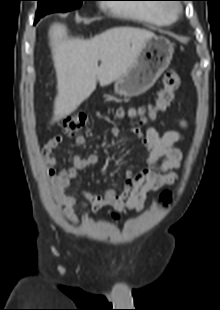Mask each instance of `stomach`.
<instances>
[{
	"label": "stomach",
	"mask_w": 220,
	"mask_h": 310,
	"mask_svg": "<svg viewBox=\"0 0 220 310\" xmlns=\"http://www.w3.org/2000/svg\"><path fill=\"white\" fill-rule=\"evenodd\" d=\"M173 52V44L165 37L155 36L147 40L131 67L115 80V93L124 97L145 93L168 68Z\"/></svg>",
	"instance_id": "0dacf381"
}]
</instances>
